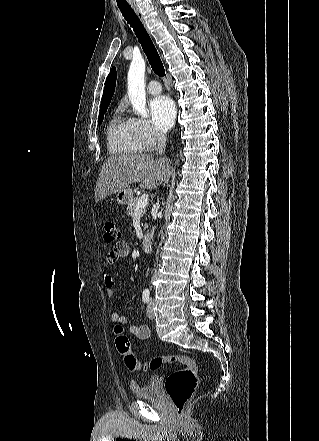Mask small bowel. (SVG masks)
<instances>
[{"label":"small bowel","mask_w":319,"mask_h":441,"mask_svg":"<svg viewBox=\"0 0 319 441\" xmlns=\"http://www.w3.org/2000/svg\"><path fill=\"white\" fill-rule=\"evenodd\" d=\"M129 253V244L126 241H120L117 243L114 250L109 251L107 254V262L109 264H116L120 258L126 257ZM104 283L106 288V294L108 298L114 296V279L111 275L106 274L104 276ZM111 320L114 323H127L128 319L124 315H120L118 312L113 311L111 313ZM129 333L140 340L149 338L150 331L146 325H133L129 328Z\"/></svg>","instance_id":"small-bowel-1"}]
</instances>
